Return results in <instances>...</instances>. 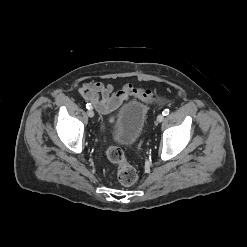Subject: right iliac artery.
Listing matches in <instances>:
<instances>
[{
  "label": "right iliac artery",
  "mask_w": 247,
  "mask_h": 247,
  "mask_svg": "<svg viewBox=\"0 0 247 247\" xmlns=\"http://www.w3.org/2000/svg\"><path fill=\"white\" fill-rule=\"evenodd\" d=\"M86 108H87V109H92L91 104H90V103H87V104H86Z\"/></svg>",
  "instance_id": "obj_1"
}]
</instances>
